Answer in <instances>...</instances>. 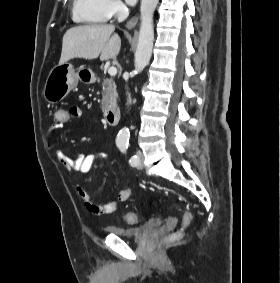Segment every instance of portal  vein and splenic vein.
Listing matches in <instances>:
<instances>
[{
  "mask_svg": "<svg viewBox=\"0 0 280 283\" xmlns=\"http://www.w3.org/2000/svg\"><path fill=\"white\" fill-rule=\"evenodd\" d=\"M108 74L112 77H114L117 74V68L114 66L109 67Z\"/></svg>",
  "mask_w": 280,
  "mask_h": 283,
  "instance_id": "obj_1",
  "label": "portal vein and splenic vein"
}]
</instances>
